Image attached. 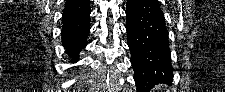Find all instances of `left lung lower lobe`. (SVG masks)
Returning a JSON list of instances; mask_svg holds the SVG:
<instances>
[{
  "label": "left lung lower lobe",
  "mask_w": 225,
  "mask_h": 92,
  "mask_svg": "<svg viewBox=\"0 0 225 92\" xmlns=\"http://www.w3.org/2000/svg\"><path fill=\"white\" fill-rule=\"evenodd\" d=\"M126 30L138 92L173 80L164 14L156 0H127Z\"/></svg>",
  "instance_id": "obj_1"
}]
</instances>
